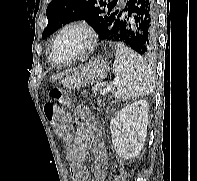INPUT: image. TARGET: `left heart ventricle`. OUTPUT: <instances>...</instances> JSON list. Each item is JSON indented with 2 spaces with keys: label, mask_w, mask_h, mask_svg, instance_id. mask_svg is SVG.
<instances>
[{
  "label": "left heart ventricle",
  "mask_w": 197,
  "mask_h": 181,
  "mask_svg": "<svg viewBox=\"0 0 197 181\" xmlns=\"http://www.w3.org/2000/svg\"><path fill=\"white\" fill-rule=\"evenodd\" d=\"M86 42V34L79 29H69L64 32L56 44L58 60H67L74 56Z\"/></svg>",
  "instance_id": "obj_1"
}]
</instances>
